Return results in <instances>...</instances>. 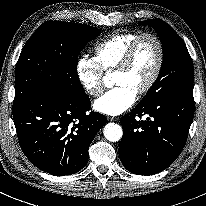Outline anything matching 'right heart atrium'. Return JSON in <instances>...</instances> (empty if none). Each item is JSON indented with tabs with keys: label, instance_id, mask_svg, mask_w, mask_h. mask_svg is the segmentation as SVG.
I'll use <instances>...</instances> for the list:
<instances>
[{
	"label": "right heart atrium",
	"instance_id": "obj_1",
	"mask_svg": "<svg viewBox=\"0 0 206 206\" xmlns=\"http://www.w3.org/2000/svg\"><path fill=\"white\" fill-rule=\"evenodd\" d=\"M76 74L79 83L88 95L95 97L103 91L104 71L95 57L79 58Z\"/></svg>",
	"mask_w": 206,
	"mask_h": 206
}]
</instances>
